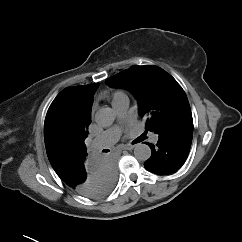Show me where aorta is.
Instances as JSON below:
<instances>
[{
	"instance_id": "762f6f07",
	"label": "aorta",
	"mask_w": 242,
	"mask_h": 242,
	"mask_svg": "<svg viewBox=\"0 0 242 242\" xmlns=\"http://www.w3.org/2000/svg\"><path fill=\"white\" fill-rule=\"evenodd\" d=\"M115 120V112L112 108H101L95 113V121L99 126L109 127ZM134 156L140 161H146L151 157V148L144 143H137L134 148Z\"/></svg>"
}]
</instances>
